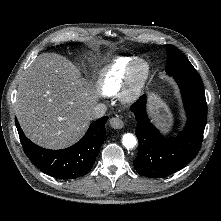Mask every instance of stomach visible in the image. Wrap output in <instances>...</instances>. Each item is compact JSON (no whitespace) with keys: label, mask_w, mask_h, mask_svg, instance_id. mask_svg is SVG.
I'll return each instance as SVG.
<instances>
[{"label":"stomach","mask_w":221,"mask_h":221,"mask_svg":"<svg viewBox=\"0 0 221 221\" xmlns=\"http://www.w3.org/2000/svg\"><path fill=\"white\" fill-rule=\"evenodd\" d=\"M149 112L153 121L164 133L171 131L173 124L171 110L163 99L155 93H152L149 101Z\"/></svg>","instance_id":"0dacf381"}]
</instances>
